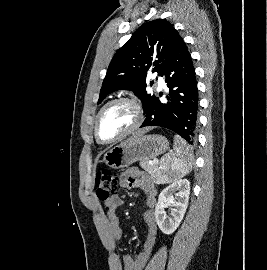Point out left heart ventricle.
<instances>
[{"instance_id": "left-heart-ventricle-1", "label": "left heart ventricle", "mask_w": 267, "mask_h": 270, "mask_svg": "<svg viewBox=\"0 0 267 270\" xmlns=\"http://www.w3.org/2000/svg\"><path fill=\"white\" fill-rule=\"evenodd\" d=\"M134 108L127 103L108 107L100 117L99 134L103 140H111L127 131L135 122Z\"/></svg>"}]
</instances>
